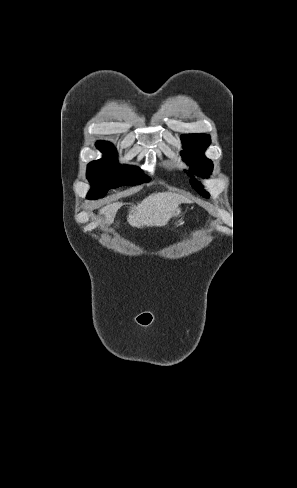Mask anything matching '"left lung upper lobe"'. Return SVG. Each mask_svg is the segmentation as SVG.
I'll return each mask as SVG.
<instances>
[{"mask_svg": "<svg viewBox=\"0 0 297 488\" xmlns=\"http://www.w3.org/2000/svg\"><path fill=\"white\" fill-rule=\"evenodd\" d=\"M181 140L185 148L181 153L184 161L199 176L208 177L213 170V164L203 153L210 144V137L205 134H184ZM190 183L202 196L209 198V194L202 189L203 186L199 182L191 179Z\"/></svg>", "mask_w": 297, "mask_h": 488, "instance_id": "1", "label": "left lung upper lobe"}]
</instances>
